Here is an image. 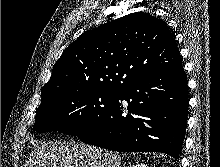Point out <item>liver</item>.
<instances>
[{"mask_svg":"<svg viewBox=\"0 0 220 167\" xmlns=\"http://www.w3.org/2000/svg\"><path fill=\"white\" fill-rule=\"evenodd\" d=\"M24 167H122L121 158L101 148L67 141L41 142Z\"/></svg>","mask_w":220,"mask_h":167,"instance_id":"1","label":"liver"}]
</instances>
